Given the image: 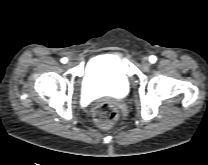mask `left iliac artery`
I'll list each match as a JSON object with an SVG mask.
<instances>
[{"mask_svg": "<svg viewBox=\"0 0 208 165\" xmlns=\"http://www.w3.org/2000/svg\"><path fill=\"white\" fill-rule=\"evenodd\" d=\"M149 60H150L151 63H155L157 58H156V56L152 55V56H150Z\"/></svg>", "mask_w": 208, "mask_h": 165, "instance_id": "left-iliac-artery-1", "label": "left iliac artery"}]
</instances>
